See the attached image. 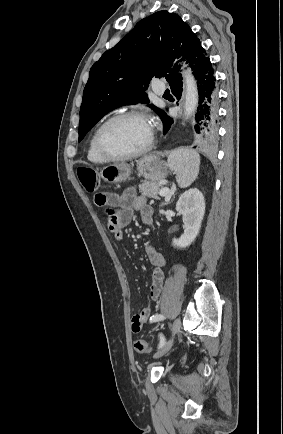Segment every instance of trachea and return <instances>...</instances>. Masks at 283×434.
<instances>
[{
  "label": "trachea",
  "instance_id": "3493384b",
  "mask_svg": "<svg viewBox=\"0 0 283 434\" xmlns=\"http://www.w3.org/2000/svg\"><path fill=\"white\" fill-rule=\"evenodd\" d=\"M170 92H169V90H167L165 93H164V95H167V94H169Z\"/></svg>",
  "mask_w": 283,
  "mask_h": 434
}]
</instances>
